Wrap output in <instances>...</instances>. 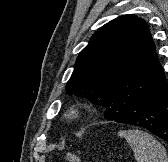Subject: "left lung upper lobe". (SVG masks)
Segmentation results:
<instances>
[{"label": "left lung upper lobe", "mask_w": 168, "mask_h": 162, "mask_svg": "<svg viewBox=\"0 0 168 162\" xmlns=\"http://www.w3.org/2000/svg\"><path fill=\"white\" fill-rule=\"evenodd\" d=\"M155 48L146 22L122 15L96 31L80 52L67 94L106 106L116 86L128 79Z\"/></svg>", "instance_id": "obj_1"}]
</instances>
